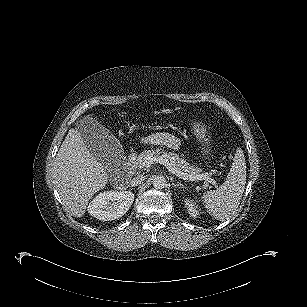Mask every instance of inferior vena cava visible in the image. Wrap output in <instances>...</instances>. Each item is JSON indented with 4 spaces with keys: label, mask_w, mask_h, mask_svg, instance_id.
Returning <instances> with one entry per match:
<instances>
[{
    "label": "inferior vena cava",
    "mask_w": 307,
    "mask_h": 307,
    "mask_svg": "<svg viewBox=\"0 0 307 307\" xmlns=\"http://www.w3.org/2000/svg\"><path fill=\"white\" fill-rule=\"evenodd\" d=\"M143 181H144L143 176H136L130 181V184L132 186H137V185H140Z\"/></svg>",
    "instance_id": "inferior-vena-cava-1"
}]
</instances>
